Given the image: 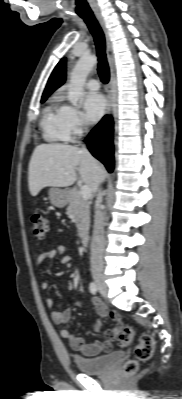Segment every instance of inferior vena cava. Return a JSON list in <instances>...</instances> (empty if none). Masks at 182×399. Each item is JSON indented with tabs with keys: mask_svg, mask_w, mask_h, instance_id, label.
Here are the masks:
<instances>
[{
	"mask_svg": "<svg viewBox=\"0 0 182 399\" xmlns=\"http://www.w3.org/2000/svg\"><path fill=\"white\" fill-rule=\"evenodd\" d=\"M96 201L94 212V228L91 240V272L95 274L103 268L104 249V218L101 210L102 194L99 186L96 189Z\"/></svg>",
	"mask_w": 182,
	"mask_h": 399,
	"instance_id": "obj_1",
	"label": "inferior vena cava"
}]
</instances>
